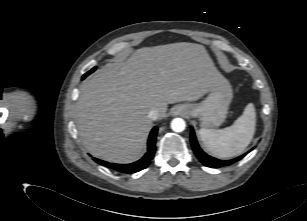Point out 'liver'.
<instances>
[{"instance_id":"1","label":"liver","mask_w":307,"mask_h":221,"mask_svg":"<svg viewBox=\"0 0 307 221\" xmlns=\"http://www.w3.org/2000/svg\"><path fill=\"white\" fill-rule=\"evenodd\" d=\"M222 79L202 45L182 42L138 49L82 85L76 104L81 141L95 157L132 162L141 155L153 126L151 110H158V119H163L168 104L198 100Z\"/></svg>"}]
</instances>
